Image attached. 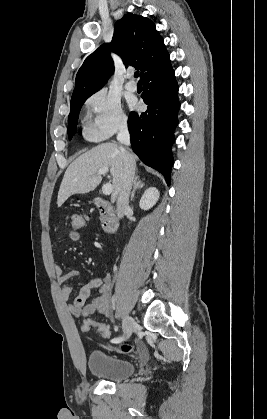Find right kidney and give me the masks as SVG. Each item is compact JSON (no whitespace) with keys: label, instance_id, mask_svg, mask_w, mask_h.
Listing matches in <instances>:
<instances>
[{"label":"right kidney","instance_id":"right-kidney-1","mask_svg":"<svg viewBox=\"0 0 267 419\" xmlns=\"http://www.w3.org/2000/svg\"><path fill=\"white\" fill-rule=\"evenodd\" d=\"M159 199V191L155 187H150L145 190L144 194L142 195L139 206L142 210H149L152 208Z\"/></svg>","mask_w":267,"mask_h":419}]
</instances>
